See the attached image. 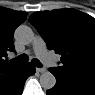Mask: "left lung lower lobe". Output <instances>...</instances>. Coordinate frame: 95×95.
I'll list each match as a JSON object with an SVG mask.
<instances>
[{
  "instance_id": "obj_1",
  "label": "left lung lower lobe",
  "mask_w": 95,
  "mask_h": 95,
  "mask_svg": "<svg viewBox=\"0 0 95 95\" xmlns=\"http://www.w3.org/2000/svg\"><path fill=\"white\" fill-rule=\"evenodd\" d=\"M49 71L56 77V85L47 91V95H95L94 79Z\"/></svg>"
}]
</instances>
